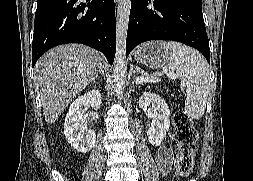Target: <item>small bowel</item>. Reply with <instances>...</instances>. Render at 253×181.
<instances>
[{
    "label": "small bowel",
    "mask_w": 253,
    "mask_h": 181,
    "mask_svg": "<svg viewBox=\"0 0 253 181\" xmlns=\"http://www.w3.org/2000/svg\"><path fill=\"white\" fill-rule=\"evenodd\" d=\"M174 158L175 151L165 146L160 147L155 154L156 165L163 174H167L171 170Z\"/></svg>",
    "instance_id": "obj_1"
}]
</instances>
